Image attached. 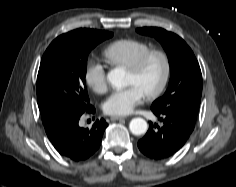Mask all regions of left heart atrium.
<instances>
[{"label": "left heart atrium", "instance_id": "left-heart-atrium-1", "mask_svg": "<svg viewBox=\"0 0 236 187\" xmlns=\"http://www.w3.org/2000/svg\"><path fill=\"white\" fill-rule=\"evenodd\" d=\"M144 94L135 85L115 91L104 102V111L112 116H125L132 112L133 108L141 101Z\"/></svg>", "mask_w": 236, "mask_h": 187}]
</instances>
